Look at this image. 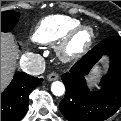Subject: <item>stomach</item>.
I'll return each instance as SVG.
<instances>
[{"instance_id":"1","label":"stomach","mask_w":121,"mask_h":121,"mask_svg":"<svg viewBox=\"0 0 121 121\" xmlns=\"http://www.w3.org/2000/svg\"><path fill=\"white\" fill-rule=\"evenodd\" d=\"M95 74H96V73H95ZM93 78H95V76H94V77H92V78H91V77H89V81H90L91 79H93Z\"/></svg>"}]
</instances>
